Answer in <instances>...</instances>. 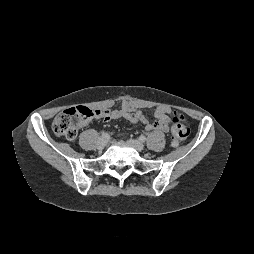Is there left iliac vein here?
Instances as JSON below:
<instances>
[{"instance_id":"4c4485c4","label":"left iliac vein","mask_w":254,"mask_h":254,"mask_svg":"<svg viewBox=\"0 0 254 254\" xmlns=\"http://www.w3.org/2000/svg\"><path fill=\"white\" fill-rule=\"evenodd\" d=\"M129 143L137 150V151H142L144 149V145L138 141V140H134L131 139L129 140Z\"/></svg>"}]
</instances>
